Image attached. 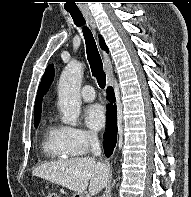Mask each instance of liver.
<instances>
[{
    "label": "liver",
    "mask_w": 191,
    "mask_h": 197,
    "mask_svg": "<svg viewBox=\"0 0 191 197\" xmlns=\"http://www.w3.org/2000/svg\"><path fill=\"white\" fill-rule=\"evenodd\" d=\"M32 175L47 179L80 195H83L89 185V193L94 196L107 185L110 168L105 163L96 162L94 158L80 157L42 164L33 170Z\"/></svg>",
    "instance_id": "6515ba94"
}]
</instances>
